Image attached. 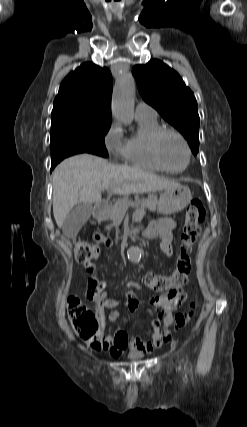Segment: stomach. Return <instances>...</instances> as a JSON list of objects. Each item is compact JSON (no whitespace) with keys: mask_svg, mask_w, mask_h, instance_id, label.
<instances>
[{"mask_svg":"<svg viewBox=\"0 0 247 427\" xmlns=\"http://www.w3.org/2000/svg\"><path fill=\"white\" fill-rule=\"evenodd\" d=\"M191 199L190 189L187 186L177 184L162 191L157 205L158 210L166 215L177 213L183 210Z\"/></svg>","mask_w":247,"mask_h":427,"instance_id":"stomach-1","label":"stomach"}]
</instances>
